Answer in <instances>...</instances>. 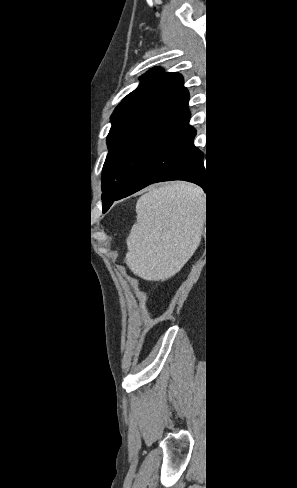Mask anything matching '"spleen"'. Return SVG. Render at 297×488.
<instances>
[{"mask_svg":"<svg viewBox=\"0 0 297 488\" xmlns=\"http://www.w3.org/2000/svg\"><path fill=\"white\" fill-rule=\"evenodd\" d=\"M203 192L178 182L152 188L136 205L137 223L127 239L126 264L145 280L178 272L198 245L196 230Z\"/></svg>","mask_w":297,"mask_h":488,"instance_id":"spleen-1","label":"spleen"}]
</instances>
